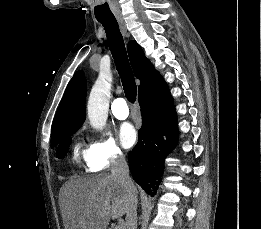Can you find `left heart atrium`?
Here are the masks:
<instances>
[{"mask_svg": "<svg viewBox=\"0 0 261 229\" xmlns=\"http://www.w3.org/2000/svg\"><path fill=\"white\" fill-rule=\"evenodd\" d=\"M119 138L121 144L126 147H132L137 141V131L131 123H124L119 129Z\"/></svg>", "mask_w": 261, "mask_h": 229, "instance_id": "left-heart-atrium-1", "label": "left heart atrium"}]
</instances>
